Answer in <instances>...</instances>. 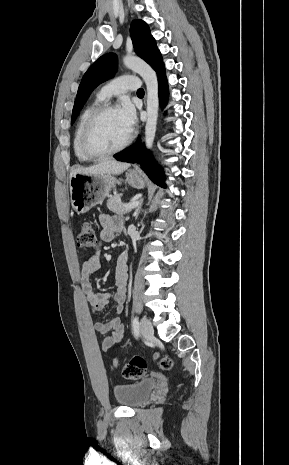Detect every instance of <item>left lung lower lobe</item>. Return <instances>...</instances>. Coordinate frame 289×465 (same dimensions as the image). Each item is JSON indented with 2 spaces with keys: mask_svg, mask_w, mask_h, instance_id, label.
Masks as SVG:
<instances>
[{
  "mask_svg": "<svg viewBox=\"0 0 289 465\" xmlns=\"http://www.w3.org/2000/svg\"><path fill=\"white\" fill-rule=\"evenodd\" d=\"M159 81V96L161 103L164 105L168 98V84L165 72L158 76ZM118 161L136 163L139 162L141 169L146 172L149 178L159 186L165 187L164 175L161 169L154 163L150 154H147L141 140L138 139L136 143L129 149L124 150L114 155Z\"/></svg>",
  "mask_w": 289,
  "mask_h": 465,
  "instance_id": "obj_1",
  "label": "left lung lower lobe"
}]
</instances>
